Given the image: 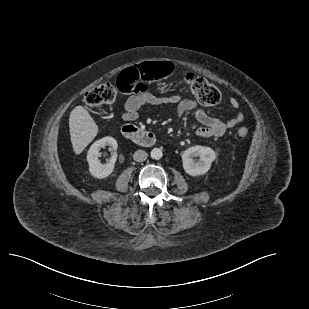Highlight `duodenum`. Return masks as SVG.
I'll return each mask as SVG.
<instances>
[{
  "label": "duodenum",
  "mask_w": 309,
  "mask_h": 309,
  "mask_svg": "<svg viewBox=\"0 0 309 309\" xmlns=\"http://www.w3.org/2000/svg\"><path fill=\"white\" fill-rule=\"evenodd\" d=\"M122 135L127 140L145 147L152 146L156 143V136L153 132L134 125H124L122 127Z\"/></svg>",
  "instance_id": "1"
}]
</instances>
